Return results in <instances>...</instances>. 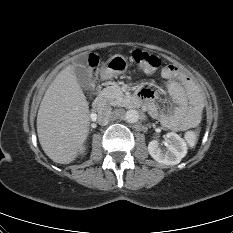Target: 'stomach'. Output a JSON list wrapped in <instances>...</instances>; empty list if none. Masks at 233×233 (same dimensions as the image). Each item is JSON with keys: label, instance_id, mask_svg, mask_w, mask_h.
<instances>
[{"label": "stomach", "instance_id": "0dacf381", "mask_svg": "<svg viewBox=\"0 0 233 233\" xmlns=\"http://www.w3.org/2000/svg\"><path fill=\"white\" fill-rule=\"evenodd\" d=\"M127 68V59L120 54H116L104 64L102 76L104 78H112L114 76L123 74L126 72Z\"/></svg>", "mask_w": 233, "mask_h": 233}]
</instances>
